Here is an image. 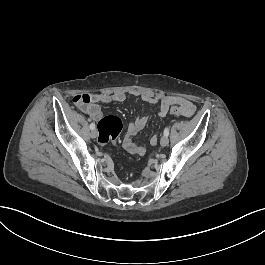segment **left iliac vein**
<instances>
[{"label":"left iliac vein","mask_w":265,"mask_h":265,"mask_svg":"<svg viewBox=\"0 0 265 265\" xmlns=\"http://www.w3.org/2000/svg\"><path fill=\"white\" fill-rule=\"evenodd\" d=\"M168 142H169L168 137L164 135L161 138V140H160V145L163 146V147H165V146H167Z\"/></svg>","instance_id":"4c4485c4"}]
</instances>
